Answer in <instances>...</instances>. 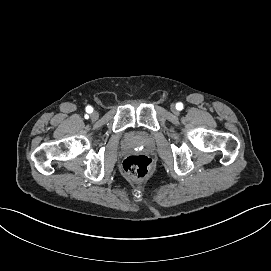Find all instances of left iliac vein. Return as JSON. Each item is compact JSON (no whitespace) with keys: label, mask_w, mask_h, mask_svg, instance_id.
<instances>
[{"label":"left iliac vein","mask_w":271,"mask_h":271,"mask_svg":"<svg viewBox=\"0 0 271 271\" xmlns=\"http://www.w3.org/2000/svg\"><path fill=\"white\" fill-rule=\"evenodd\" d=\"M171 111H172V113H174V114H177V113H178V110H177V108H176L175 105H172V106H171Z\"/></svg>","instance_id":"4c4485c4"}]
</instances>
